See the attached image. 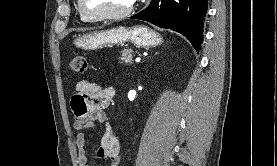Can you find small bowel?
<instances>
[{"label":"small bowel","instance_id":"small-bowel-1","mask_svg":"<svg viewBox=\"0 0 277 166\" xmlns=\"http://www.w3.org/2000/svg\"><path fill=\"white\" fill-rule=\"evenodd\" d=\"M76 91L77 93L71 99V108L74 115L73 126L78 130L76 145L79 165L90 166L86 151L88 142L86 131L92 129L98 122L104 124V132L96 156L100 159H108L110 166H118L120 163V144L106 121L104 111L112 101L114 90L82 80L77 83Z\"/></svg>","mask_w":277,"mask_h":166}]
</instances>
